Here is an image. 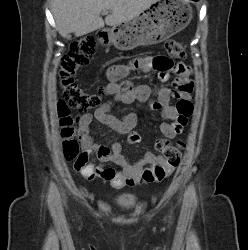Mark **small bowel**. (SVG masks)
Returning <instances> with one entry per match:
<instances>
[{
    "label": "small bowel",
    "mask_w": 248,
    "mask_h": 250,
    "mask_svg": "<svg viewBox=\"0 0 248 250\" xmlns=\"http://www.w3.org/2000/svg\"><path fill=\"white\" fill-rule=\"evenodd\" d=\"M132 70L142 72L156 71L162 80H167L172 73L178 74L179 80L175 87V94L179 98L177 105H171L169 102L172 95V90L169 87L152 88L146 84L134 86L129 81H123L125 74ZM107 78L109 82L103 88V92L107 96H112L113 101L103 103L94 113L83 114L77 127V136L86 153H94L101 162L114 163L121 170L115 171L112 168L95 167L93 165L80 168L76 164L74 165L75 170L87 180H93L97 177L107 180L114 188H122L125 185L143 181H159L146 179L144 177L146 169L144 168L146 165L167 167L163 158L151 151H147L141 159L130 162L123 154L122 146L119 142H113L110 146L95 143L90 136V126L92 121L96 119L117 133L129 134L132 142H138L140 137H137L136 133L133 132L137 124V115L135 113H126L121 117H116L110 113V110L114 102L132 104L135 101L146 102L151 97H155L158 107L162 110V114L167 120V122L161 124V132L167 139L175 138L187 124L189 114L186 112V108H192L194 84L191 80L190 67L183 63L173 65L164 57L142 56L136 58L130 64L111 66L107 70ZM173 170V168H169L165 177L169 176Z\"/></svg>",
    "instance_id": "obj_1"
}]
</instances>
